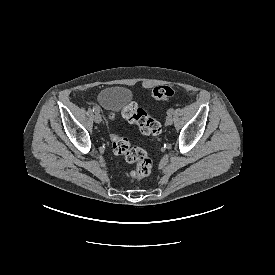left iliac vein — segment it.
Here are the masks:
<instances>
[{"label": "left iliac vein", "mask_w": 275, "mask_h": 275, "mask_svg": "<svg viewBox=\"0 0 275 275\" xmlns=\"http://www.w3.org/2000/svg\"><path fill=\"white\" fill-rule=\"evenodd\" d=\"M166 124L167 125H172L173 124V118L172 116L168 115L166 118Z\"/></svg>", "instance_id": "obj_1"}]
</instances>
